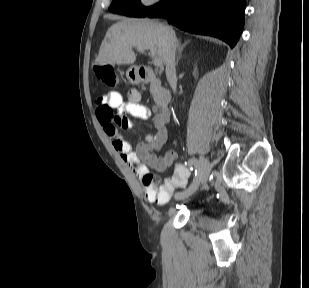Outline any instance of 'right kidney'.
Wrapping results in <instances>:
<instances>
[{
    "label": "right kidney",
    "instance_id": "right-kidney-1",
    "mask_svg": "<svg viewBox=\"0 0 309 288\" xmlns=\"http://www.w3.org/2000/svg\"><path fill=\"white\" fill-rule=\"evenodd\" d=\"M193 75H194V77H196V75H197V68L194 69Z\"/></svg>",
    "mask_w": 309,
    "mask_h": 288
}]
</instances>
